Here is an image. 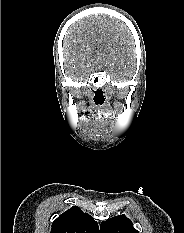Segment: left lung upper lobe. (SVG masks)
Returning <instances> with one entry per match:
<instances>
[{"label":"left lung upper lobe","mask_w":184,"mask_h":233,"mask_svg":"<svg viewBox=\"0 0 184 233\" xmlns=\"http://www.w3.org/2000/svg\"><path fill=\"white\" fill-rule=\"evenodd\" d=\"M100 233H139L125 215L116 216L102 222Z\"/></svg>","instance_id":"left-lung-upper-lobe-1"}]
</instances>
